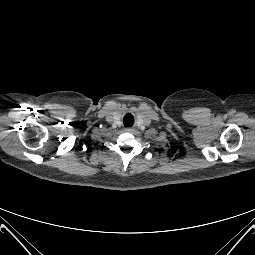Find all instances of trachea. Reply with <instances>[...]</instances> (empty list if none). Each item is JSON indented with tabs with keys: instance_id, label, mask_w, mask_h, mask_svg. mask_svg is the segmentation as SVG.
<instances>
[{
	"instance_id": "3493384b",
	"label": "trachea",
	"mask_w": 255,
	"mask_h": 255,
	"mask_svg": "<svg viewBox=\"0 0 255 255\" xmlns=\"http://www.w3.org/2000/svg\"><path fill=\"white\" fill-rule=\"evenodd\" d=\"M123 123L125 125V127H130L134 124V118L131 114H126L124 119H123Z\"/></svg>"
}]
</instances>
